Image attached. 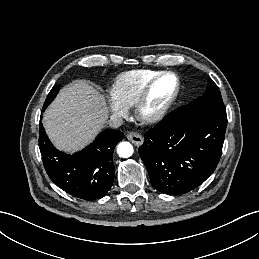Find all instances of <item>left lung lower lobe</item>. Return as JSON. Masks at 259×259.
Listing matches in <instances>:
<instances>
[{
    "label": "left lung lower lobe",
    "instance_id": "obj_1",
    "mask_svg": "<svg viewBox=\"0 0 259 259\" xmlns=\"http://www.w3.org/2000/svg\"><path fill=\"white\" fill-rule=\"evenodd\" d=\"M227 126L225 108L196 107L168 115L146 132L139 147L154 189L180 195L216 169Z\"/></svg>",
    "mask_w": 259,
    "mask_h": 259
}]
</instances>
